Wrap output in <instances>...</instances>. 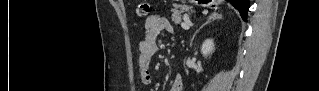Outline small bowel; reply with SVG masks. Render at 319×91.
<instances>
[{"mask_svg":"<svg viewBox=\"0 0 319 91\" xmlns=\"http://www.w3.org/2000/svg\"><path fill=\"white\" fill-rule=\"evenodd\" d=\"M144 28V37L138 44L137 68L140 82L147 85L152 81V59L159 50L157 39L162 33L172 32V25L166 17L151 15L146 18ZM170 91H182V79L179 74L173 77Z\"/></svg>","mask_w":319,"mask_h":91,"instance_id":"small-bowel-1","label":"small bowel"}]
</instances>
